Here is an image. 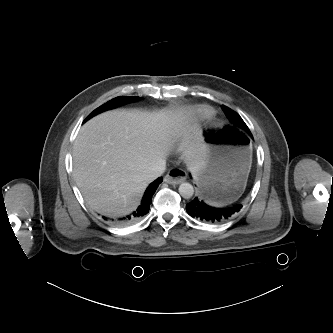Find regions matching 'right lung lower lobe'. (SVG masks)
<instances>
[{
  "label": "right lung lower lobe",
  "instance_id": "1",
  "mask_svg": "<svg viewBox=\"0 0 333 333\" xmlns=\"http://www.w3.org/2000/svg\"><path fill=\"white\" fill-rule=\"evenodd\" d=\"M162 180V177H159L148 186L144 193L141 205L136 211H134L131 215L126 216L125 218H121L118 222H115H117L118 224H128L147 214L149 212L150 204L152 202V196L155 193L159 184L162 182ZM103 218L104 220L108 219L106 217Z\"/></svg>",
  "mask_w": 333,
  "mask_h": 333
}]
</instances>
